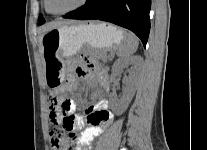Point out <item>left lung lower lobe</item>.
<instances>
[{"label":"left lung lower lobe","mask_w":207,"mask_h":150,"mask_svg":"<svg viewBox=\"0 0 207 150\" xmlns=\"http://www.w3.org/2000/svg\"><path fill=\"white\" fill-rule=\"evenodd\" d=\"M150 5L151 0H88L64 18L114 23L134 32L146 46L150 31Z\"/></svg>","instance_id":"left-lung-lower-lobe-1"}]
</instances>
